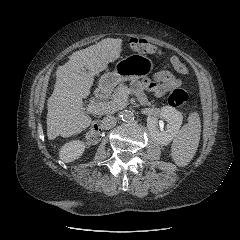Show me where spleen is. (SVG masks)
I'll return each mask as SVG.
<instances>
[{"instance_id":"3e777b00","label":"spleen","mask_w":240,"mask_h":240,"mask_svg":"<svg viewBox=\"0 0 240 240\" xmlns=\"http://www.w3.org/2000/svg\"><path fill=\"white\" fill-rule=\"evenodd\" d=\"M200 135V117L197 112H193L188 117V123L176 135L171 146V156L178 166H186L192 160L199 145Z\"/></svg>"}]
</instances>
